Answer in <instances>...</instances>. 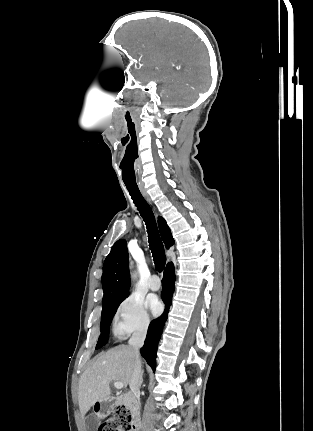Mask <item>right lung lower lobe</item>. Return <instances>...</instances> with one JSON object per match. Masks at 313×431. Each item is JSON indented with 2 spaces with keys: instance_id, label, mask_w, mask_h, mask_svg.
<instances>
[{
  "instance_id": "1",
  "label": "right lung lower lobe",
  "mask_w": 313,
  "mask_h": 431,
  "mask_svg": "<svg viewBox=\"0 0 313 431\" xmlns=\"http://www.w3.org/2000/svg\"><path fill=\"white\" fill-rule=\"evenodd\" d=\"M162 284L163 289L161 292V297L165 303V311L160 316V318H157L150 323L145 344L140 350L142 357L147 361L153 371H155L156 368L157 345L161 337L164 324L167 320L168 311L174 292L175 272L174 265L172 263H168L166 266Z\"/></svg>"
}]
</instances>
